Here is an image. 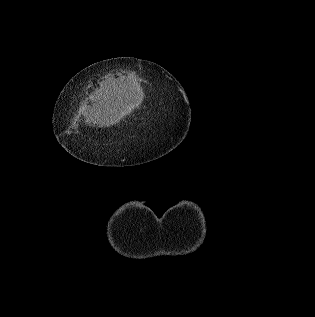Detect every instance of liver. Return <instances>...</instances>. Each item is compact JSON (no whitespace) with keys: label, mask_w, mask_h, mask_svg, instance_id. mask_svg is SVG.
I'll return each mask as SVG.
<instances>
[{"label":"liver","mask_w":315,"mask_h":317,"mask_svg":"<svg viewBox=\"0 0 315 317\" xmlns=\"http://www.w3.org/2000/svg\"><path fill=\"white\" fill-rule=\"evenodd\" d=\"M100 94L92 97L95 102L87 114L88 122L99 127H109L119 123L133 109L130 97L125 96V89L117 88L116 91H107L101 88Z\"/></svg>","instance_id":"obj_1"}]
</instances>
